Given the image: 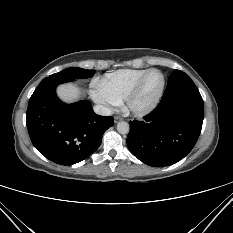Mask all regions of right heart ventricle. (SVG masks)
I'll return each instance as SVG.
<instances>
[{
	"label": "right heart ventricle",
	"instance_id": "1",
	"mask_svg": "<svg viewBox=\"0 0 233 233\" xmlns=\"http://www.w3.org/2000/svg\"><path fill=\"white\" fill-rule=\"evenodd\" d=\"M148 69H120L106 73L98 82L120 103Z\"/></svg>",
	"mask_w": 233,
	"mask_h": 233
}]
</instances>
